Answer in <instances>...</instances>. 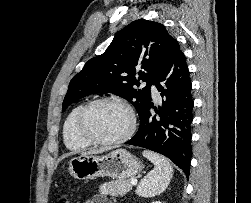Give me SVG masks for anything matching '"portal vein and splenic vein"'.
<instances>
[{
	"mask_svg": "<svg viewBox=\"0 0 251 203\" xmlns=\"http://www.w3.org/2000/svg\"><path fill=\"white\" fill-rule=\"evenodd\" d=\"M131 184L136 185L137 184V179H132Z\"/></svg>",
	"mask_w": 251,
	"mask_h": 203,
	"instance_id": "portal-vein-and-splenic-vein-1",
	"label": "portal vein and splenic vein"
}]
</instances>
